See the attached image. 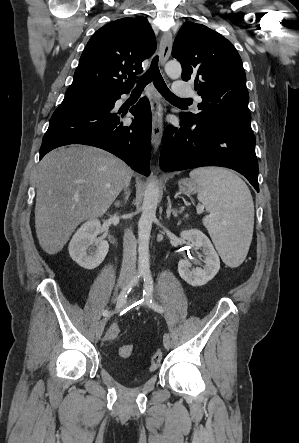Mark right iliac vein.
<instances>
[{
    "label": "right iliac vein",
    "mask_w": 299,
    "mask_h": 443,
    "mask_svg": "<svg viewBox=\"0 0 299 443\" xmlns=\"http://www.w3.org/2000/svg\"><path fill=\"white\" fill-rule=\"evenodd\" d=\"M129 280H130L129 276H121L118 281L119 287L124 288L128 284ZM105 324H106V319H102L98 323V325L96 327V339L97 340H99L101 338Z\"/></svg>",
    "instance_id": "1"
}]
</instances>
